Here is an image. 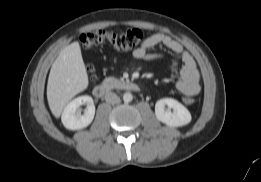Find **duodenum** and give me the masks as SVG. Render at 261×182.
Segmentation results:
<instances>
[{"mask_svg":"<svg viewBox=\"0 0 261 182\" xmlns=\"http://www.w3.org/2000/svg\"><path fill=\"white\" fill-rule=\"evenodd\" d=\"M119 87L124 89V90H129V91H138L139 86L133 82V81H125L119 84ZM109 91V86L108 85H97L93 89V95L96 98H103Z\"/></svg>","mask_w":261,"mask_h":182,"instance_id":"1","label":"duodenum"}]
</instances>
